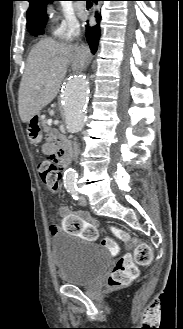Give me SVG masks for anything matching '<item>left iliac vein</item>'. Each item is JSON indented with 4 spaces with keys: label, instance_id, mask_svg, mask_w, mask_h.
Here are the masks:
<instances>
[{
    "label": "left iliac vein",
    "instance_id": "4c4485c4",
    "mask_svg": "<svg viewBox=\"0 0 183 329\" xmlns=\"http://www.w3.org/2000/svg\"><path fill=\"white\" fill-rule=\"evenodd\" d=\"M79 204H80L81 206H86L87 201H86V198H85L84 196H80V197H79Z\"/></svg>",
    "mask_w": 183,
    "mask_h": 329
}]
</instances>
